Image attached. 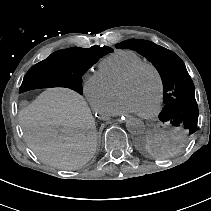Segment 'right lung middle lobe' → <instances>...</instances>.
<instances>
[{"instance_id":"dd1d6c3e","label":"right lung middle lobe","mask_w":211,"mask_h":211,"mask_svg":"<svg viewBox=\"0 0 211 211\" xmlns=\"http://www.w3.org/2000/svg\"><path fill=\"white\" fill-rule=\"evenodd\" d=\"M111 51L105 48L73 47L52 53L32 66L23 79L21 92L49 87H67L82 94V76L99 58Z\"/></svg>"}]
</instances>
